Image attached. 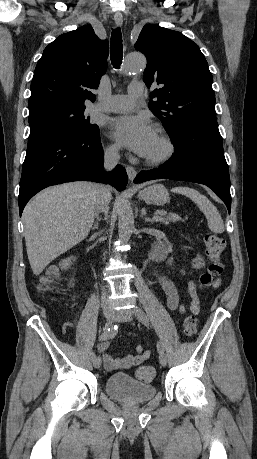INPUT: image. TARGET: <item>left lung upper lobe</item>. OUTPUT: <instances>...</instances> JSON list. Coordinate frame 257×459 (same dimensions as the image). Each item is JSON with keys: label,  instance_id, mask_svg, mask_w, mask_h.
I'll return each instance as SVG.
<instances>
[{"label": "left lung upper lobe", "instance_id": "left-lung-upper-lobe-1", "mask_svg": "<svg viewBox=\"0 0 257 459\" xmlns=\"http://www.w3.org/2000/svg\"><path fill=\"white\" fill-rule=\"evenodd\" d=\"M135 48L147 58L144 82L161 88L150 93V110L163 122L170 138L182 125L215 118L212 74L199 47L182 33L145 25Z\"/></svg>", "mask_w": 257, "mask_h": 459}]
</instances>
